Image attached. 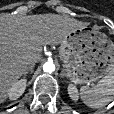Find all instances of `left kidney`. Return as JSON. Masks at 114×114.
Segmentation results:
<instances>
[{"mask_svg": "<svg viewBox=\"0 0 114 114\" xmlns=\"http://www.w3.org/2000/svg\"><path fill=\"white\" fill-rule=\"evenodd\" d=\"M68 94L70 96V98L73 100V101H77L78 100V90L77 88L73 85V84H69L68 86Z\"/></svg>", "mask_w": 114, "mask_h": 114, "instance_id": "left-kidney-1", "label": "left kidney"}]
</instances>
